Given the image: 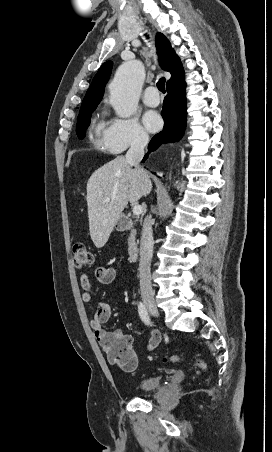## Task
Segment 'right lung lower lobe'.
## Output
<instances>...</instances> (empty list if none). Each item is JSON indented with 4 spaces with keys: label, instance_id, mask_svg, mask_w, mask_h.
I'll return each instance as SVG.
<instances>
[{
    "label": "right lung lower lobe",
    "instance_id": "98d812e1",
    "mask_svg": "<svg viewBox=\"0 0 272 452\" xmlns=\"http://www.w3.org/2000/svg\"><path fill=\"white\" fill-rule=\"evenodd\" d=\"M184 79L167 87L168 95L164 99L162 117L164 119L163 130L156 134L149 143L148 155L156 150L162 143L179 141L184 133L187 118V106L185 96Z\"/></svg>",
    "mask_w": 272,
    "mask_h": 452
}]
</instances>
